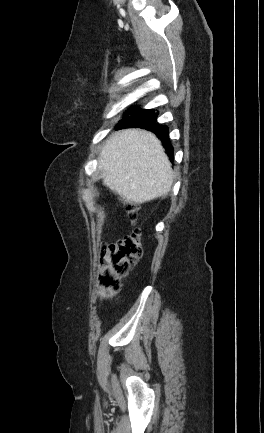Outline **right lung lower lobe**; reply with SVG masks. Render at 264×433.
Listing matches in <instances>:
<instances>
[{"instance_id":"obj_1","label":"right lung lower lobe","mask_w":264,"mask_h":433,"mask_svg":"<svg viewBox=\"0 0 264 433\" xmlns=\"http://www.w3.org/2000/svg\"><path fill=\"white\" fill-rule=\"evenodd\" d=\"M157 115L154 110L138 109L131 117L123 118V120L118 123L117 128L139 127L152 131L161 139L167 150L173 156V148L168 136V127L156 123Z\"/></svg>"}]
</instances>
